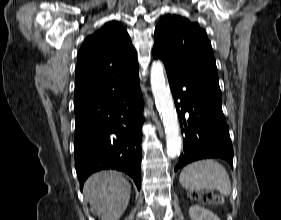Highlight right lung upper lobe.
Returning a JSON list of instances; mask_svg holds the SVG:
<instances>
[{
	"instance_id": "cb5924a9",
	"label": "right lung upper lobe",
	"mask_w": 281,
	"mask_h": 220,
	"mask_svg": "<svg viewBox=\"0 0 281 220\" xmlns=\"http://www.w3.org/2000/svg\"><path fill=\"white\" fill-rule=\"evenodd\" d=\"M139 79L136 51L117 21L88 36L78 53L74 109L120 92Z\"/></svg>"
}]
</instances>
